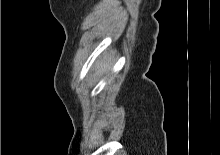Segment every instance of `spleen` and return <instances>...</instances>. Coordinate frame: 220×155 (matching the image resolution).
Instances as JSON below:
<instances>
[{
    "label": "spleen",
    "instance_id": "obj_1",
    "mask_svg": "<svg viewBox=\"0 0 220 155\" xmlns=\"http://www.w3.org/2000/svg\"><path fill=\"white\" fill-rule=\"evenodd\" d=\"M96 68H97V73L101 74L104 71H107L110 67L108 64H106L105 62H97L96 63Z\"/></svg>",
    "mask_w": 220,
    "mask_h": 155
}]
</instances>
